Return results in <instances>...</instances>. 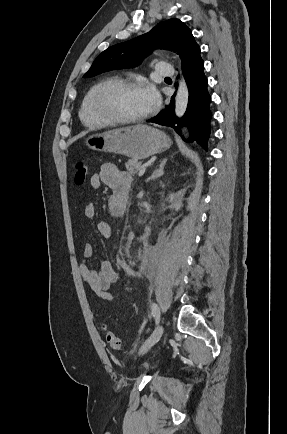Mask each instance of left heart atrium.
<instances>
[{
  "instance_id": "1",
  "label": "left heart atrium",
  "mask_w": 287,
  "mask_h": 434,
  "mask_svg": "<svg viewBox=\"0 0 287 434\" xmlns=\"http://www.w3.org/2000/svg\"><path fill=\"white\" fill-rule=\"evenodd\" d=\"M141 92L146 102L148 111L155 109L159 105L160 95L152 84L146 83L142 85Z\"/></svg>"
}]
</instances>
